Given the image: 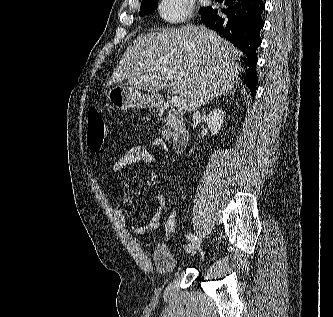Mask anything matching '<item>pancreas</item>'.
<instances>
[{
	"instance_id": "obj_1",
	"label": "pancreas",
	"mask_w": 333,
	"mask_h": 317,
	"mask_svg": "<svg viewBox=\"0 0 333 317\" xmlns=\"http://www.w3.org/2000/svg\"><path fill=\"white\" fill-rule=\"evenodd\" d=\"M167 119L169 120L168 125L166 127L163 126L160 129V133L165 139H168L171 136L173 128L177 125V123L181 122L180 117L176 113H172L171 111L169 112V116Z\"/></svg>"
}]
</instances>
